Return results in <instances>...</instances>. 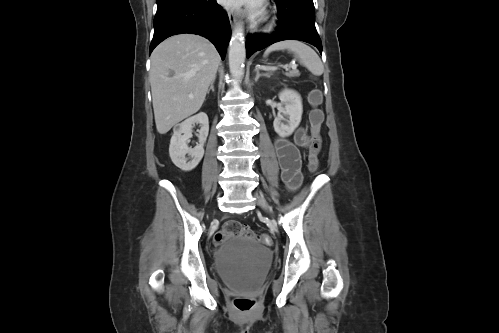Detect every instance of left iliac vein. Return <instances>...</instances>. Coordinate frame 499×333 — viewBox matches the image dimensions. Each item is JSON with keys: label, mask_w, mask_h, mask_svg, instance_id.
<instances>
[{"label": "left iliac vein", "mask_w": 499, "mask_h": 333, "mask_svg": "<svg viewBox=\"0 0 499 333\" xmlns=\"http://www.w3.org/2000/svg\"><path fill=\"white\" fill-rule=\"evenodd\" d=\"M255 197H256L258 205H260L262 208H264L266 210H269V205L266 202V200H265L264 197H262V196H260L258 194H256Z\"/></svg>", "instance_id": "4c4485c4"}]
</instances>
